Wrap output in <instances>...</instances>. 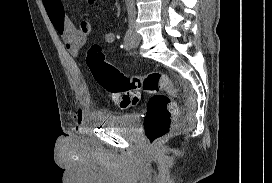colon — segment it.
Returning <instances> with one entry per match:
<instances>
[{"label":"colon","instance_id":"obj_1","mask_svg":"<svg viewBox=\"0 0 272 183\" xmlns=\"http://www.w3.org/2000/svg\"><path fill=\"white\" fill-rule=\"evenodd\" d=\"M87 65L95 81L122 108L134 106L140 91L151 95L144 120V133L151 146L168 135L177 115V104L173 99L175 89L167 74L154 71L144 76L126 75L105 60L97 45L89 50Z\"/></svg>","mask_w":272,"mask_h":183}]
</instances>
